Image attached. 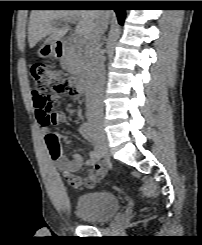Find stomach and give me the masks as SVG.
<instances>
[{"mask_svg":"<svg viewBox=\"0 0 202 245\" xmlns=\"http://www.w3.org/2000/svg\"><path fill=\"white\" fill-rule=\"evenodd\" d=\"M41 58H53L57 56L56 42H45L37 51Z\"/></svg>","mask_w":202,"mask_h":245,"instance_id":"0dacf381","label":"stomach"}]
</instances>
